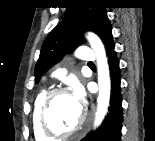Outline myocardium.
<instances>
[{
	"label": "myocardium",
	"mask_w": 155,
	"mask_h": 141,
	"mask_svg": "<svg viewBox=\"0 0 155 141\" xmlns=\"http://www.w3.org/2000/svg\"><path fill=\"white\" fill-rule=\"evenodd\" d=\"M68 90L66 88H53L47 91L41 101L38 114V122L41 131L49 138H67L76 135L82 131L88 125L87 113L82 111V118L79 124L72 130L61 132L52 129L48 123V110L50 107L51 100L60 94H66Z\"/></svg>",
	"instance_id": "obj_1"
}]
</instances>
